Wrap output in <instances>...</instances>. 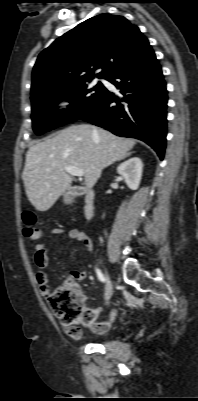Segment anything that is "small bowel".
<instances>
[{
  "label": "small bowel",
  "instance_id": "obj_1",
  "mask_svg": "<svg viewBox=\"0 0 198 401\" xmlns=\"http://www.w3.org/2000/svg\"><path fill=\"white\" fill-rule=\"evenodd\" d=\"M52 235H60L64 233V230L61 228H54L51 230ZM68 237L72 240L80 242L88 251H92V240L89 237V235L80 229H71L68 232ZM49 263V251L48 248L45 244H40L37 245L35 248V256H34V264L36 268V281L38 283V286L40 290L44 294H48L50 291V285L48 278L45 275V269L47 268ZM88 275V272L86 270L82 271H77L75 272V276L79 279H84ZM84 302L88 300L86 295H82ZM95 316L96 312L93 310ZM118 313V310L116 307H114L110 314H109V319L107 321H96L92 326L91 329L97 333V334H103L105 333L110 324L114 321ZM81 336V333L79 332L78 337Z\"/></svg>",
  "mask_w": 198,
  "mask_h": 401
}]
</instances>
